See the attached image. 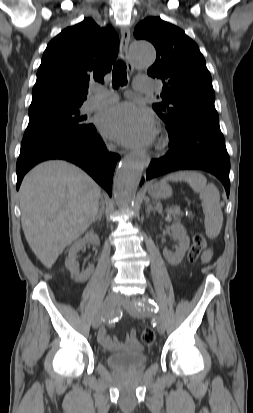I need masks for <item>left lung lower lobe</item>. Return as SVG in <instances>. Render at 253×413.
I'll list each match as a JSON object with an SVG mask.
<instances>
[{"label": "left lung lower lobe", "instance_id": "obj_1", "mask_svg": "<svg viewBox=\"0 0 253 413\" xmlns=\"http://www.w3.org/2000/svg\"><path fill=\"white\" fill-rule=\"evenodd\" d=\"M167 130L170 150L151 161L146 179L175 170L200 169L219 178L229 196L230 159L219 121L195 118Z\"/></svg>", "mask_w": 253, "mask_h": 413}]
</instances>
